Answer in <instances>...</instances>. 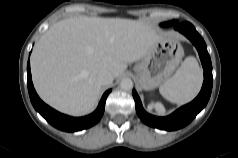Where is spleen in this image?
Instances as JSON below:
<instances>
[{"label": "spleen", "instance_id": "3e777b00", "mask_svg": "<svg viewBox=\"0 0 238 158\" xmlns=\"http://www.w3.org/2000/svg\"><path fill=\"white\" fill-rule=\"evenodd\" d=\"M203 81L202 70L194 57H187L175 74L160 86V94L176 104L190 102L198 94Z\"/></svg>", "mask_w": 238, "mask_h": 158}]
</instances>
